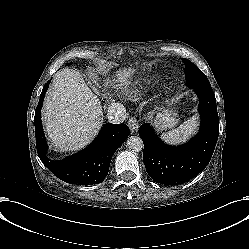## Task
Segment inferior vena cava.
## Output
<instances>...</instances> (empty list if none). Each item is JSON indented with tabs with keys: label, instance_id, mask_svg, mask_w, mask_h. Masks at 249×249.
<instances>
[{
	"label": "inferior vena cava",
	"instance_id": "1",
	"mask_svg": "<svg viewBox=\"0 0 249 249\" xmlns=\"http://www.w3.org/2000/svg\"><path fill=\"white\" fill-rule=\"evenodd\" d=\"M126 109L121 103H111L107 107V119L110 123L120 124L126 119Z\"/></svg>",
	"mask_w": 249,
	"mask_h": 249
}]
</instances>
